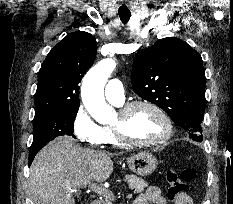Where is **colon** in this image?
<instances>
[{"label":"colon","instance_id":"obj_1","mask_svg":"<svg viewBox=\"0 0 233 204\" xmlns=\"http://www.w3.org/2000/svg\"><path fill=\"white\" fill-rule=\"evenodd\" d=\"M195 177V171L192 168L177 170L168 168L165 172V179L168 183L167 196L170 200H176L188 190L187 183Z\"/></svg>","mask_w":233,"mask_h":204}]
</instances>
